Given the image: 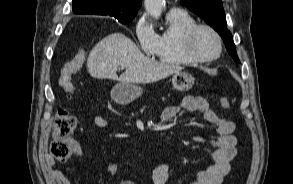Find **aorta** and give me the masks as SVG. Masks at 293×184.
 I'll return each instance as SVG.
<instances>
[{
	"mask_svg": "<svg viewBox=\"0 0 293 184\" xmlns=\"http://www.w3.org/2000/svg\"><path fill=\"white\" fill-rule=\"evenodd\" d=\"M147 13L153 18L159 19L165 5V0H144Z\"/></svg>",
	"mask_w": 293,
	"mask_h": 184,
	"instance_id": "aorta-1",
	"label": "aorta"
}]
</instances>
